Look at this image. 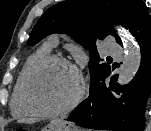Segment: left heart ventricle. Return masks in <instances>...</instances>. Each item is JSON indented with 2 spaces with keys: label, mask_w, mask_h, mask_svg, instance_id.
Segmentation results:
<instances>
[{
  "label": "left heart ventricle",
  "mask_w": 151,
  "mask_h": 131,
  "mask_svg": "<svg viewBox=\"0 0 151 131\" xmlns=\"http://www.w3.org/2000/svg\"><path fill=\"white\" fill-rule=\"evenodd\" d=\"M77 89L75 74L66 66L51 64L36 71L29 84V100L37 109L51 111L63 107Z\"/></svg>",
  "instance_id": "left-heart-ventricle-1"
}]
</instances>
